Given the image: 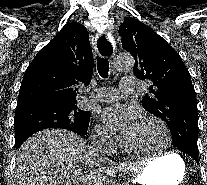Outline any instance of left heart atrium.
Segmentation results:
<instances>
[{
    "label": "left heart atrium",
    "mask_w": 207,
    "mask_h": 185,
    "mask_svg": "<svg viewBox=\"0 0 207 185\" xmlns=\"http://www.w3.org/2000/svg\"><path fill=\"white\" fill-rule=\"evenodd\" d=\"M103 119L111 129L129 134L142 120L138 110L122 104H115L103 111Z\"/></svg>",
    "instance_id": "1"
}]
</instances>
